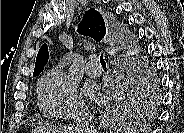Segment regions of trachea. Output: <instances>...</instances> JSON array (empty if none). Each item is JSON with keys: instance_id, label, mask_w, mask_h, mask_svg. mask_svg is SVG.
<instances>
[{"instance_id": "obj_1", "label": "trachea", "mask_w": 184, "mask_h": 133, "mask_svg": "<svg viewBox=\"0 0 184 133\" xmlns=\"http://www.w3.org/2000/svg\"><path fill=\"white\" fill-rule=\"evenodd\" d=\"M100 63L102 65V67H106V62H105V59L103 57V54L100 56Z\"/></svg>"}]
</instances>
